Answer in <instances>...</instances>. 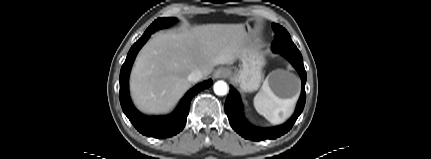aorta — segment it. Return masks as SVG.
Instances as JSON below:
<instances>
[{"label": "aorta", "instance_id": "762f6f07", "mask_svg": "<svg viewBox=\"0 0 431 159\" xmlns=\"http://www.w3.org/2000/svg\"><path fill=\"white\" fill-rule=\"evenodd\" d=\"M214 92L217 95H226L228 92V86L226 82L220 80L214 84Z\"/></svg>", "mask_w": 431, "mask_h": 159}]
</instances>
